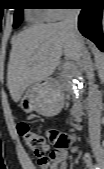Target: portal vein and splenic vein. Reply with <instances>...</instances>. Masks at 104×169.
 <instances>
[{"label": "portal vein and splenic vein", "mask_w": 104, "mask_h": 169, "mask_svg": "<svg viewBox=\"0 0 104 169\" xmlns=\"http://www.w3.org/2000/svg\"><path fill=\"white\" fill-rule=\"evenodd\" d=\"M64 68L66 70H69V71H72V72H75L76 71V66L72 63V62H65L64 63Z\"/></svg>", "instance_id": "portal-vein-and-splenic-vein-1"}]
</instances>
